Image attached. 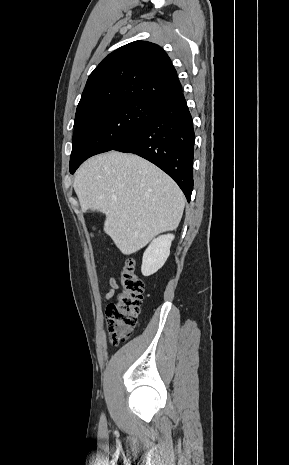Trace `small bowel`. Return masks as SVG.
Instances as JSON below:
<instances>
[{
	"label": "small bowel",
	"mask_w": 289,
	"mask_h": 465,
	"mask_svg": "<svg viewBox=\"0 0 289 465\" xmlns=\"http://www.w3.org/2000/svg\"><path fill=\"white\" fill-rule=\"evenodd\" d=\"M109 285H110V290L109 292L107 293V298H111L113 296V293H114V290L116 289L117 287V284L115 282V280L113 278H111L109 280Z\"/></svg>",
	"instance_id": "small-bowel-1"
}]
</instances>
